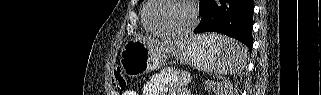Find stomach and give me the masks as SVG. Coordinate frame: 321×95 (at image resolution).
Here are the masks:
<instances>
[{
  "mask_svg": "<svg viewBox=\"0 0 321 95\" xmlns=\"http://www.w3.org/2000/svg\"><path fill=\"white\" fill-rule=\"evenodd\" d=\"M223 47L217 38L210 35H198L187 40L175 56L194 68L209 72L215 69ZM166 59V54L150 49L139 40L132 39L122 48L120 68L125 75L136 78L147 72L159 69Z\"/></svg>",
  "mask_w": 321,
  "mask_h": 95,
  "instance_id": "stomach-1",
  "label": "stomach"
}]
</instances>
